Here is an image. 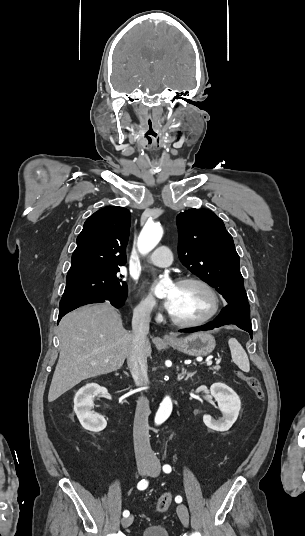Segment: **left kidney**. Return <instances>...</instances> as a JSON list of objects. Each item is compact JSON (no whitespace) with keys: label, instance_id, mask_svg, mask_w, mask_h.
Wrapping results in <instances>:
<instances>
[{"label":"left kidney","instance_id":"5707ae66","mask_svg":"<svg viewBox=\"0 0 305 536\" xmlns=\"http://www.w3.org/2000/svg\"><path fill=\"white\" fill-rule=\"evenodd\" d=\"M211 396H214L216 402H218L219 410L223 414V418L220 420H213L211 416H203V422L207 428L216 430V432H227L236 422L241 408V402L236 392H233L232 388L226 386V384H212L210 388Z\"/></svg>","mask_w":305,"mask_h":536}]
</instances>
